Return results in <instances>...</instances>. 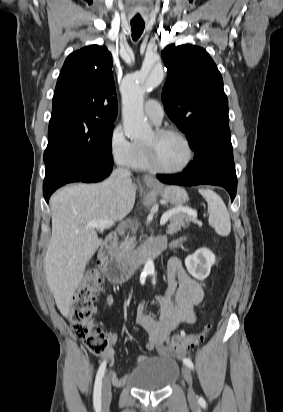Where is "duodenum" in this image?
I'll return each instance as SVG.
<instances>
[{
  "instance_id": "1",
  "label": "duodenum",
  "mask_w": 283,
  "mask_h": 412,
  "mask_svg": "<svg viewBox=\"0 0 283 412\" xmlns=\"http://www.w3.org/2000/svg\"><path fill=\"white\" fill-rule=\"evenodd\" d=\"M116 240V232L108 234L98 253V263L103 275L116 284L128 282L145 260L173 247L161 238L154 239L145 243L132 258L120 262L116 257Z\"/></svg>"
}]
</instances>
